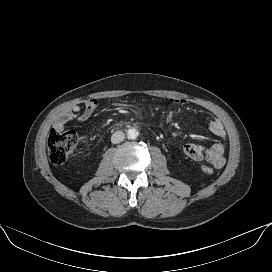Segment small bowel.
Masks as SVG:
<instances>
[{
	"label": "small bowel",
	"mask_w": 272,
	"mask_h": 272,
	"mask_svg": "<svg viewBox=\"0 0 272 272\" xmlns=\"http://www.w3.org/2000/svg\"><path fill=\"white\" fill-rule=\"evenodd\" d=\"M174 105H184L186 100L175 98L171 100ZM97 106L95 99H88L84 102L83 107L78 105L72 106L70 109L61 114L54 123V128L58 131H63L66 124L72 121H86L91 117ZM210 132L220 139L219 142L206 148L197 144L188 143L183 150L185 155L196 162H207L214 169H221L225 164L226 131L222 122L219 119H214L209 123Z\"/></svg>",
	"instance_id": "obj_1"
}]
</instances>
